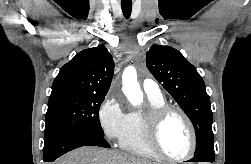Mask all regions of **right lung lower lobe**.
<instances>
[{
	"label": "right lung lower lobe",
	"instance_id": "1",
	"mask_svg": "<svg viewBox=\"0 0 251 164\" xmlns=\"http://www.w3.org/2000/svg\"><path fill=\"white\" fill-rule=\"evenodd\" d=\"M82 146L110 147L104 137L97 133L57 129L45 135L44 162H53L61 155Z\"/></svg>",
	"mask_w": 251,
	"mask_h": 164
}]
</instances>
